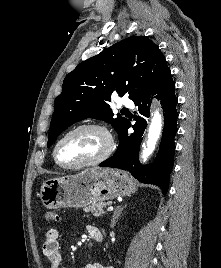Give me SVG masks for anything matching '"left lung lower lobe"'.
I'll use <instances>...</instances> for the list:
<instances>
[{"instance_id":"0a47b994","label":"left lung lower lobe","mask_w":221,"mask_h":268,"mask_svg":"<svg viewBox=\"0 0 221 268\" xmlns=\"http://www.w3.org/2000/svg\"><path fill=\"white\" fill-rule=\"evenodd\" d=\"M155 94L164 111L163 137L156 160L150 165L142 166L138 161V151L150 114V96ZM134 103L138 106V115L135 116L136 122L133 125L134 133H127L128 128L131 127L128 121L124 129L118 134L119 146L117 151L99 166L127 170L140 182L158 185L166 194L170 171L174 163V136L177 133L176 121L178 118L175 84L172 77H169L153 92L136 99Z\"/></svg>"}]
</instances>
